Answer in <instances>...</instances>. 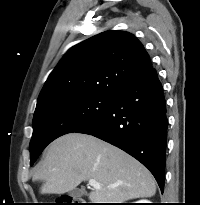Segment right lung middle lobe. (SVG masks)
<instances>
[{
  "mask_svg": "<svg viewBox=\"0 0 200 205\" xmlns=\"http://www.w3.org/2000/svg\"><path fill=\"white\" fill-rule=\"evenodd\" d=\"M114 97L85 95L56 102L33 118L30 155L33 165L43 149L56 138L95 122L110 108Z\"/></svg>",
  "mask_w": 200,
  "mask_h": 205,
  "instance_id": "dd1d6c3e",
  "label": "right lung middle lobe"
}]
</instances>
